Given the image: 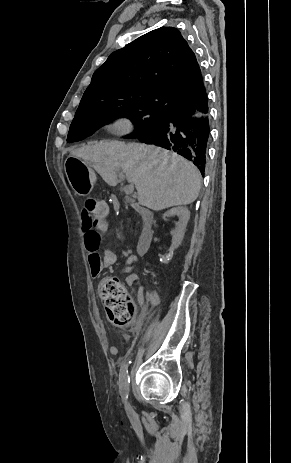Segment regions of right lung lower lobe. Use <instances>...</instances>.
<instances>
[{
  "label": "right lung lower lobe",
  "mask_w": 291,
  "mask_h": 463,
  "mask_svg": "<svg viewBox=\"0 0 291 463\" xmlns=\"http://www.w3.org/2000/svg\"><path fill=\"white\" fill-rule=\"evenodd\" d=\"M204 86V84H203ZM208 98L188 111L173 109L165 114L161 124L137 138L174 151L192 161L204 175L210 137Z\"/></svg>",
  "instance_id": "right-lung-lower-lobe-1"
}]
</instances>
